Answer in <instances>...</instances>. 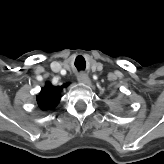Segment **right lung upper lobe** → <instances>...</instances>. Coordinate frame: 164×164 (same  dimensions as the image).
<instances>
[{
    "mask_svg": "<svg viewBox=\"0 0 164 164\" xmlns=\"http://www.w3.org/2000/svg\"><path fill=\"white\" fill-rule=\"evenodd\" d=\"M63 86L54 87L47 83L46 86L41 90L40 95L37 96V102L40 108L43 110L55 107L59 100V92Z\"/></svg>",
    "mask_w": 164,
    "mask_h": 164,
    "instance_id": "obj_1",
    "label": "right lung upper lobe"
}]
</instances>
